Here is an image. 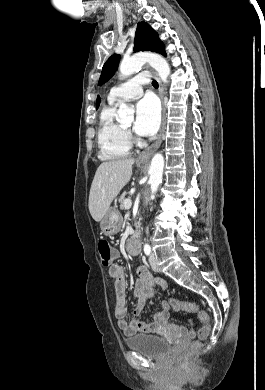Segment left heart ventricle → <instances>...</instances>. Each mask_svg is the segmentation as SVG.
I'll return each instance as SVG.
<instances>
[{
  "label": "left heart ventricle",
  "instance_id": "obj_1",
  "mask_svg": "<svg viewBox=\"0 0 265 390\" xmlns=\"http://www.w3.org/2000/svg\"><path fill=\"white\" fill-rule=\"evenodd\" d=\"M131 127H132V123H129V124H127V125L125 126V128H127V129H131Z\"/></svg>",
  "mask_w": 265,
  "mask_h": 390
}]
</instances>
